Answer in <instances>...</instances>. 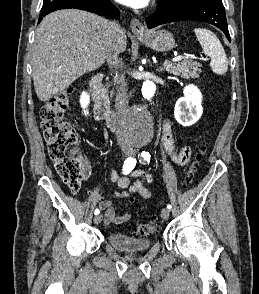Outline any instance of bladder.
Listing matches in <instances>:
<instances>
[{
    "label": "bladder",
    "instance_id": "31cf9c89",
    "mask_svg": "<svg viewBox=\"0 0 259 294\" xmlns=\"http://www.w3.org/2000/svg\"><path fill=\"white\" fill-rule=\"evenodd\" d=\"M107 240L113 248L125 253L143 252L151 246L149 239L131 237L119 232L111 233Z\"/></svg>",
    "mask_w": 259,
    "mask_h": 294
}]
</instances>
